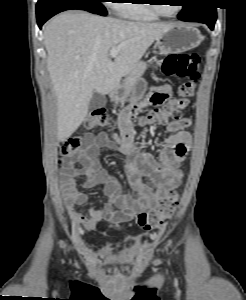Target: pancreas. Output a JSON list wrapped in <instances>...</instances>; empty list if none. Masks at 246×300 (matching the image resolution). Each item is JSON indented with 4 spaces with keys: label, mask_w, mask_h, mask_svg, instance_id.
<instances>
[{
    "label": "pancreas",
    "mask_w": 246,
    "mask_h": 300,
    "mask_svg": "<svg viewBox=\"0 0 246 300\" xmlns=\"http://www.w3.org/2000/svg\"><path fill=\"white\" fill-rule=\"evenodd\" d=\"M147 68V63L139 62L136 67L128 74V76L124 79L122 88L127 92L130 90L138 78H140Z\"/></svg>",
    "instance_id": "1"
}]
</instances>
